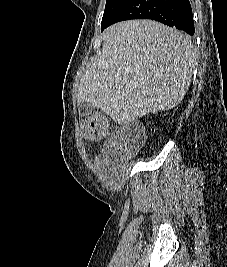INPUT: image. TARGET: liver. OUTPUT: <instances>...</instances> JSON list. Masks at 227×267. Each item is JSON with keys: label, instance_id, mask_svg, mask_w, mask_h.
Returning a JSON list of instances; mask_svg holds the SVG:
<instances>
[{"label": "liver", "instance_id": "6515ba94", "mask_svg": "<svg viewBox=\"0 0 227 267\" xmlns=\"http://www.w3.org/2000/svg\"><path fill=\"white\" fill-rule=\"evenodd\" d=\"M194 59L190 39L176 29L151 20L117 23L104 32L102 55L82 76L78 102L119 124L170 110L188 91Z\"/></svg>", "mask_w": 227, "mask_h": 267}]
</instances>
